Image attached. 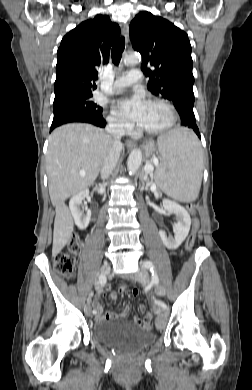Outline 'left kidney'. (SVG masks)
<instances>
[{"mask_svg": "<svg viewBox=\"0 0 252 390\" xmlns=\"http://www.w3.org/2000/svg\"><path fill=\"white\" fill-rule=\"evenodd\" d=\"M163 207L167 212L176 215L177 222L174 224V238L167 237L165 231L163 230L159 231V235L166 248L169 250H175L187 237L191 226V218L185 208L174 201L164 199Z\"/></svg>", "mask_w": 252, "mask_h": 390, "instance_id": "obj_1", "label": "left kidney"}]
</instances>
